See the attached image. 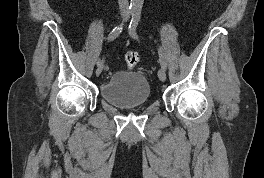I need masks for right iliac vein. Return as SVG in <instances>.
Instances as JSON below:
<instances>
[{
  "label": "right iliac vein",
  "instance_id": "right-iliac-vein-1",
  "mask_svg": "<svg viewBox=\"0 0 264 178\" xmlns=\"http://www.w3.org/2000/svg\"><path fill=\"white\" fill-rule=\"evenodd\" d=\"M102 70H103V65L98 66V68L96 70V75L99 76L101 74Z\"/></svg>",
  "mask_w": 264,
  "mask_h": 178
}]
</instances>
